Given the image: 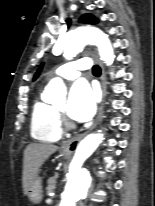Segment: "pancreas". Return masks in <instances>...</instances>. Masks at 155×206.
I'll return each mask as SVG.
<instances>
[{"mask_svg":"<svg viewBox=\"0 0 155 206\" xmlns=\"http://www.w3.org/2000/svg\"><path fill=\"white\" fill-rule=\"evenodd\" d=\"M56 179H57V176H53V177H50L48 179V182H47L48 185H47V188H46L48 193L55 190V188H56Z\"/></svg>","mask_w":155,"mask_h":206,"instance_id":"pancreas-1","label":"pancreas"}]
</instances>
